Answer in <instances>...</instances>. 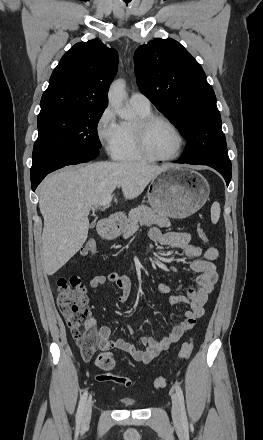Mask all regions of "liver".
Returning <instances> with one entry per match:
<instances>
[{
  "mask_svg": "<svg viewBox=\"0 0 263 440\" xmlns=\"http://www.w3.org/2000/svg\"><path fill=\"white\" fill-rule=\"evenodd\" d=\"M174 167L139 162H96L68 167L49 175L39 186L44 218L41 255L46 274L53 275L85 243L91 209L122 188L125 200L137 198L162 172Z\"/></svg>",
  "mask_w": 263,
  "mask_h": 440,
  "instance_id": "1",
  "label": "liver"
}]
</instances>
